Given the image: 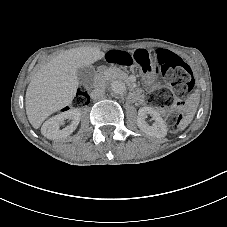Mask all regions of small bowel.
I'll list each match as a JSON object with an SVG mask.
<instances>
[{
	"mask_svg": "<svg viewBox=\"0 0 227 227\" xmlns=\"http://www.w3.org/2000/svg\"><path fill=\"white\" fill-rule=\"evenodd\" d=\"M134 52H139V53H142L148 57H151L153 60L155 59L156 57V51H148L146 49H138V50H135Z\"/></svg>",
	"mask_w": 227,
	"mask_h": 227,
	"instance_id": "1",
	"label": "small bowel"
}]
</instances>
